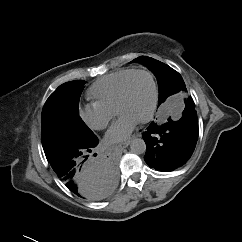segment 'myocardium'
Segmentation results:
<instances>
[{
  "label": "myocardium",
  "instance_id": "myocardium-1",
  "mask_svg": "<svg viewBox=\"0 0 242 242\" xmlns=\"http://www.w3.org/2000/svg\"><path fill=\"white\" fill-rule=\"evenodd\" d=\"M137 74L147 75L150 78V81L152 84V102H151L150 109H149L147 115L139 121V123H147V122L151 121L155 115V111H156L157 104H158V96H159L158 84H157L156 78H155L154 74L147 69H136V70L132 71L125 78V80L123 81V83L120 87V90H119L117 103H116V113L119 114V109L125 100L127 90H128V85H129L131 78Z\"/></svg>",
  "mask_w": 242,
  "mask_h": 242
}]
</instances>
